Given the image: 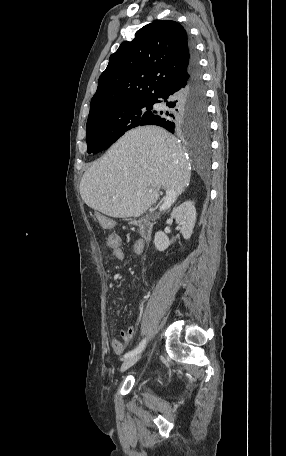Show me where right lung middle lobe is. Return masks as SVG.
<instances>
[{
  "mask_svg": "<svg viewBox=\"0 0 286 456\" xmlns=\"http://www.w3.org/2000/svg\"><path fill=\"white\" fill-rule=\"evenodd\" d=\"M154 100L125 102L109 106L87 121L88 153H98L116 142L126 131L146 125L154 116ZM195 130H207V123L195 126Z\"/></svg>",
  "mask_w": 286,
  "mask_h": 456,
  "instance_id": "1",
  "label": "right lung middle lobe"
}]
</instances>
